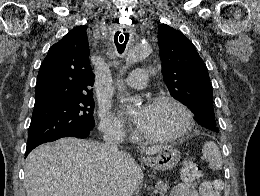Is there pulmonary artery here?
<instances>
[{
	"instance_id": "e3ab8cb5",
	"label": "pulmonary artery",
	"mask_w": 260,
	"mask_h": 196,
	"mask_svg": "<svg viewBox=\"0 0 260 196\" xmlns=\"http://www.w3.org/2000/svg\"><path fill=\"white\" fill-rule=\"evenodd\" d=\"M135 74H131V79H120V84H139L125 85V90H141L143 85L150 81V69H135Z\"/></svg>"
}]
</instances>
